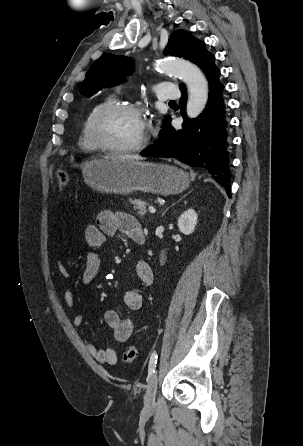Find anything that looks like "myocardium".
I'll use <instances>...</instances> for the list:
<instances>
[{
    "instance_id": "1",
    "label": "myocardium",
    "mask_w": 303,
    "mask_h": 446,
    "mask_svg": "<svg viewBox=\"0 0 303 446\" xmlns=\"http://www.w3.org/2000/svg\"><path fill=\"white\" fill-rule=\"evenodd\" d=\"M116 112H131L137 115L142 116L143 112L142 109L139 108L136 105L133 104H125V103H119V102H111L108 103L101 108H99L93 117L91 118L90 125H89V134L92 142L101 150L113 152V153H132L142 150L149 141V136L147 133L143 136V138L138 141L137 143L129 146H114L109 143H107L100 134V126L103 119L108 116L109 114L116 113Z\"/></svg>"
}]
</instances>
